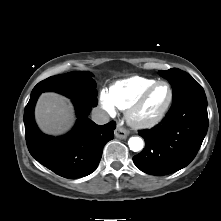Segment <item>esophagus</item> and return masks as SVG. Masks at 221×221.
<instances>
[{
	"mask_svg": "<svg viewBox=\"0 0 221 221\" xmlns=\"http://www.w3.org/2000/svg\"><path fill=\"white\" fill-rule=\"evenodd\" d=\"M114 134H115L116 138L126 139L127 136H128V131L125 128L117 125V127H116V129L114 131Z\"/></svg>",
	"mask_w": 221,
	"mask_h": 221,
	"instance_id": "34e87169",
	"label": "esophagus"
}]
</instances>
